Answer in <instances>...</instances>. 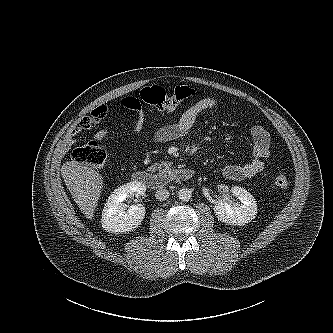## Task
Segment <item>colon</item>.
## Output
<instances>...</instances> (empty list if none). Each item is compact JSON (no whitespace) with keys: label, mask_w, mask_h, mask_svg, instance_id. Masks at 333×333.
<instances>
[{"label":"colon","mask_w":333,"mask_h":333,"mask_svg":"<svg viewBox=\"0 0 333 333\" xmlns=\"http://www.w3.org/2000/svg\"><path fill=\"white\" fill-rule=\"evenodd\" d=\"M194 93V89L188 86H177L171 90L161 86H151L141 90L139 99L158 110L172 111L183 101L192 97ZM71 158L78 163L98 169L104 165L106 154L97 142H89L74 149ZM288 183V178L280 174L274 179L273 185L276 188L284 189Z\"/></svg>","instance_id":"1"}]
</instances>
